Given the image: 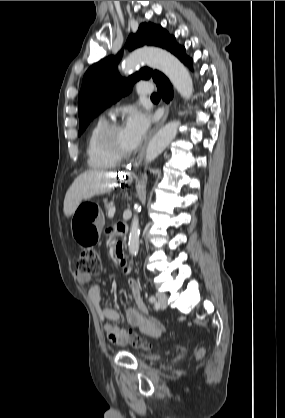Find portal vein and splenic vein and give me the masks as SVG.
<instances>
[{"label": "portal vein and splenic vein", "mask_w": 285, "mask_h": 418, "mask_svg": "<svg viewBox=\"0 0 285 418\" xmlns=\"http://www.w3.org/2000/svg\"><path fill=\"white\" fill-rule=\"evenodd\" d=\"M116 208L114 206H112L109 211H108V217H113L115 214Z\"/></svg>", "instance_id": "portal-vein-and-splenic-vein-1"}]
</instances>
